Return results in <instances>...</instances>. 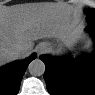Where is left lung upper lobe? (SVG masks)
Returning a JSON list of instances; mask_svg holds the SVG:
<instances>
[{"mask_svg": "<svg viewBox=\"0 0 95 95\" xmlns=\"http://www.w3.org/2000/svg\"><path fill=\"white\" fill-rule=\"evenodd\" d=\"M86 13H87L88 19L95 18V9H87Z\"/></svg>", "mask_w": 95, "mask_h": 95, "instance_id": "1", "label": "left lung upper lobe"}]
</instances>
